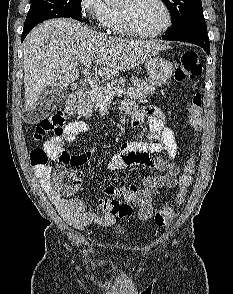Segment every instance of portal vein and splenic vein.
Masks as SVG:
<instances>
[{
    "label": "portal vein and splenic vein",
    "mask_w": 233,
    "mask_h": 294,
    "mask_svg": "<svg viewBox=\"0 0 233 294\" xmlns=\"http://www.w3.org/2000/svg\"><path fill=\"white\" fill-rule=\"evenodd\" d=\"M92 64V60L91 59H84L82 61V65L86 68H89ZM125 92L124 89H109L106 91V93L109 94V96H115V95H121Z\"/></svg>",
    "instance_id": "1"
}]
</instances>
